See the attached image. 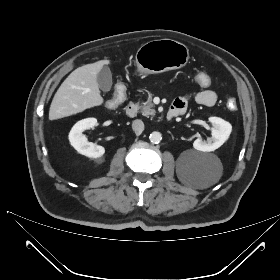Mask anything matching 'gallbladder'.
<instances>
[{
    "instance_id": "gallbladder-1",
    "label": "gallbladder",
    "mask_w": 280,
    "mask_h": 280,
    "mask_svg": "<svg viewBox=\"0 0 280 280\" xmlns=\"http://www.w3.org/2000/svg\"><path fill=\"white\" fill-rule=\"evenodd\" d=\"M97 83L103 92H109L112 87V73L109 67L104 66L97 74Z\"/></svg>"
}]
</instances>
